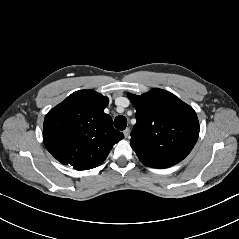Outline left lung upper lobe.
<instances>
[{"label":"left lung upper lobe","mask_w":239,"mask_h":239,"mask_svg":"<svg viewBox=\"0 0 239 239\" xmlns=\"http://www.w3.org/2000/svg\"><path fill=\"white\" fill-rule=\"evenodd\" d=\"M128 97L136 108L137 120L130 145L140 161L152 168H168L182 161L199 136L193 108L158 88Z\"/></svg>","instance_id":"left-lung-upper-lobe-1"}]
</instances>
